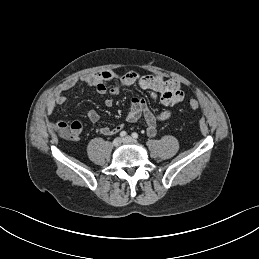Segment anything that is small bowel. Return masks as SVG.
I'll return each instance as SVG.
<instances>
[{"label":"small bowel","instance_id":"c3829d8e","mask_svg":"<svg viewBox=\"0 0 259 259\" xmlns=\"http://www.w3.org/2000/svg\"><path fill=\"white\" fill-rule=\"evenodd\" d=\"M117 80L118 83L108 88L106 83ZM85 84L96 89L102 95H106L105 105L110 107L115 97L124 87L133 85L149 92L154 99L159 96V102L167 107L160 112H153L147 106L146 100L142 96L132 99L131 107L127 115V121L136 122L143 119L146 124V133L149 137H154L160 123L168 120L172 111L168 107L180 103L184 99V92L180 83L175 79H167L161 75L140 76L137 71L129 70L121 75L111 69L86 74L83 76H72L68 78L56 91L54 99L45 109L47 114L53 112L58 106H64L67 102L64 93L76 85ZM87 118L91 123H97L100 119L99 113L94 109L87 110ZM123 129V124L114 127L103 126L99 129L105 136L119 133Z\"/></svg>","mask_w":259,"mask_h":259}]
</instances>
